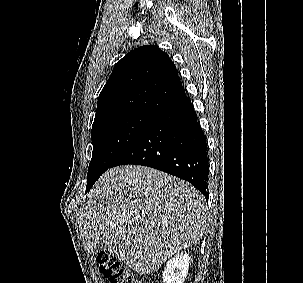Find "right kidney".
<instances>
[{"label": "right kidney", "mask_w": 303, "mask_h": 283, "mask_svg": "<svg viewBox=\"0 0 303 283\" xmlns=\"http://www.w3.org/2000/svg\"><path fill=\"white\" fill-rule=\"evenodd\" d=\"M190 263L189 253L177 254L170 259L163 272L164 283H183L188 274Z\"/></svg>", "instance_id": "right-kidney-1"}]
</instances>
